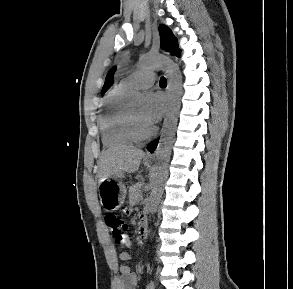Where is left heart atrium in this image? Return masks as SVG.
Instances as JSON below:
<instances>
[{
  "instance_id": "left-heart-atrium-1",
  "label": "left heart atrium",
  "mask_w": 293,
  "mask_h": 289,
  "mask_svg": "<svg viewBox=\"0 0 293 289\" xmlns=\"http://www.w3.org/2000/svg\"><path fill=\"white\" fill-rule=\"evenodd\" d=\"M166 109V101L162 94L150 92L146 96L145 107L143 110L144 122L152 127L163 116Z\"/></svg>"
}]
</instances>
